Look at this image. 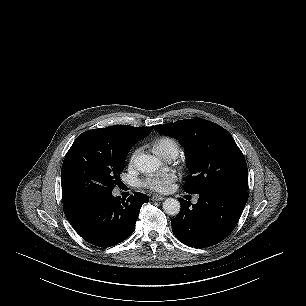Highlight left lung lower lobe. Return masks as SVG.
I'll list each match as a JSON object with an SVG mask.
<instances>
[{
	"instance_id": "left-lung-lower-lobe-1",
	"label": "left lung lower lobe",
	"mask_w": 306,
	"mask_h": 306,
	"mask_svg": "<svg viewBox=\"0 0 306 306\" xmlns=\"http://www.w3.org/2000/svg\"><path fill=\"white\" fill-rule=\"evenodd\" d=\"M247 199V193L228 189L200 193L196 204L180 198L181 210L171 220L173 233L191 247L215 245L233 231Z\"/></svg>"
}]
</instances>
